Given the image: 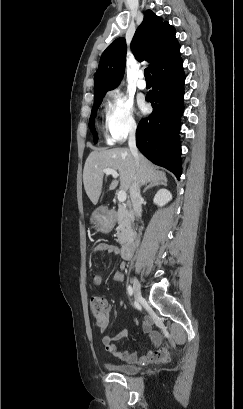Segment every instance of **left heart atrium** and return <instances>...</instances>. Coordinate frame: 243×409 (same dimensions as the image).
I'll list each match as a JSON object with an SVG mask.
<instances>
[{
    "instance_id": "39dd6f15",
    "label": "left heart atrium",
    "mask_w": 243,
    "mask_h": 409,
    "mask_svg": "<svg viewBox=\"0 0 243 409\" xmlns=\"http://www.w3.org/2000/svg\"><path fill=\"white\" fill-rule=\"evenodd\" d=\"M141 110H142L143 112H146V111H147V107H146L145 105H141Z\"/></svg>"
}]
</instances>
